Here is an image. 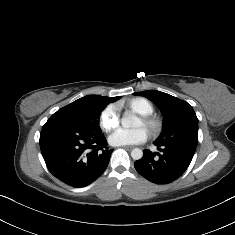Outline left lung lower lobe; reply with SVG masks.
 Segmentation results:
<instances>
[{"mask_svg": "<svg viewBox=\"0 0 235 235\" xmlns=\"http://www.w3.org/2000/svg\"><path fill=\"white\" fill-rule=\"evenodd\" d=\"M154 144L162 153L144 150L143 157L134 166L140 175L156 184L170 183L180 177L188 168L196 149L181 143Z\"/></svg>", "mask_w": 235, "mask_h": 235, "instance_id": "obj_1", "label": "left lung lower lobe"}]
</instances>
